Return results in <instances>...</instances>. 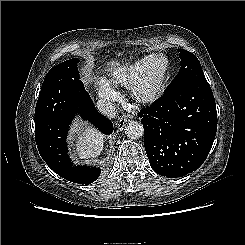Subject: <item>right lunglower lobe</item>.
<instances>
[{
    "mask_svg": "<svg viewBox=\"0 0 245 245\" xmlns=\"http://www.w3.org/2000/svg\"><path fill=\"white\" fill-rule=\"evenodd\" d=\"M74 116L58 119H36V143L41 157L55 173L74 183L90 184L99 177L100 168L74 166L68 155L66 138ZM82 117L88 119L105 134H110L113 131L112 122L97 112L93 102L91 111Z\"/></svg>",
    "mask_w": 245,
    "mask_h": 245,
    "instance_id": "1",
    "label": "right lung lower lobe"
}]
</instances>
